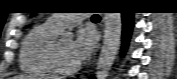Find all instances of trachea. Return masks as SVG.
<instances>
[{
	"label": "trachea",
	"mask_w": 177,
	"mask_h": 79,
	"mask_svg": "<svg viewBox=\"0 0 177 79\" xmlns=\"http://www.w3.org/2000/svg\"><path fill=\"white\" fill-rule=\"evenodd\" d=\"M92 20L98 21V20H100V17L98 15H93Z\"/></svg>",
	"instance_id": "trachea-1"
}]
</instances>
